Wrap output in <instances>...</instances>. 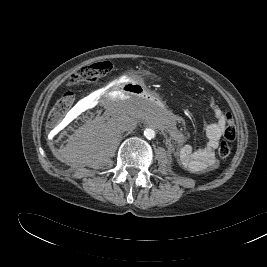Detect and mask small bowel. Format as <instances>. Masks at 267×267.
Segmentation results:
<instances>
[{"label": "small bowel", "instance_id": "1", "mask_svg": "<svg viewBox=\"0 0 267 267\" xmlns=\"http://www.w3.org/2000/svg\"><path fill=\"white\" fill-rule=\"evenodd\" d=\"M208 105L213 113L214 122L206 127V136L208 142L202 148H193L191 146H183L177 152V157L181 164L191 172L201 173L215 169L218 165L215 157L221 138L224 136L225 128L230 116L225 113L217 104L213 97H209ZM170 124L172 122L169 119ZM175 137H179L176 130H172Z\"/></svg>", "mask_w": 267, "mask_h": 267}]
</instances>
